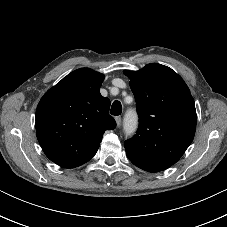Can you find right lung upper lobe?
<instances>
[{
	"mask_svg": "<svg viewBox=\"0 0 227 227\" xmlns=\"http://www.w3.org/2000/svg\"><path fill=\"white\" fill-rule=\"evenodd\" d=\"M104 75L88 68L71 72L41 98L36 133L45 155L57 165L74 168L97 152L106 130L116 127L110 100L100 94Z\"/></svg>",
	"mask_w": 227,
	"mask_h": 227,
	"instance_id": "1",
	"label": "right lung upper lobe"
}]
</instances>
